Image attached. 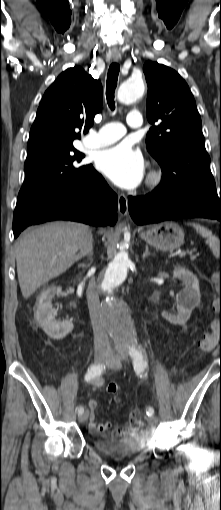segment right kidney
<instances>
[{
  "mask_svg": "<svg viewBox=\"0 0 221 510\" xmlns=\"http://www.w3.org/2000/svg\"><path fill=\"white\" fill-rule=\"evenodd\" d=\"M61 293V287L52 286L43 290L38 298L35 317L45 333L53 339H63L73 329L70 320L58 321L53 313L51 300Z\"/></svg>",
  "mask_w": 221,
  "mask_h": 510,
  "instance_id": "ca27d5eb",
  "label": "right kidney"
}]
</instances>
